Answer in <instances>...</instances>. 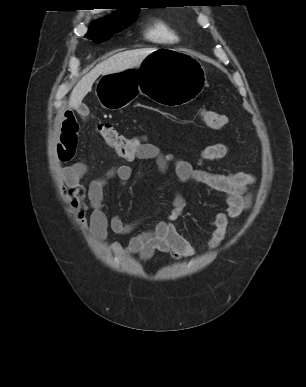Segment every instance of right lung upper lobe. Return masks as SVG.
<instances>
[{"label":"right lung upper lobe","mask_w":306,"mask_h":387,"mask_svg":"<svg viewBox=\"0 0 306 387\" xmlns=\"http://www.w3.org/2000/svg\"><path fill=\"white\" fill-rule=\"evenodd\" d=\"M132 11H137V10H132ZM129 12H131V11H129ZM121 13H124V12H116V13L113 14L111 17H108V18H106V19H104V20H100V21H98L97 23H104V22H107V21H109L111 18H114V17L118 16V15L121 14Z\"/></svg>","instance_id":"cb5924a9"}]
</instances>
